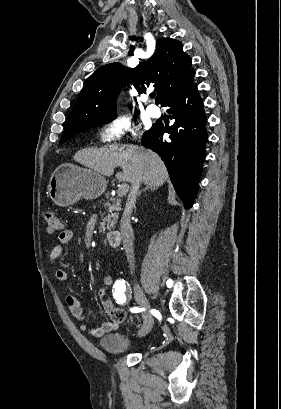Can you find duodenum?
Listing matches in <instances>:
<instances>
[{
    "instance_id": "obj_1",
    "label": "duodenum",
    "mask_w": 281,
    "mask_h": 409,
    "mask_svg": "<svg viewBox=\"0 0 281 409\" xmlns=\"http://www.w3.org/2000/svg\"><path fill=\"white\" fill-rule=\"evenodd\" d=\"M107 239L112 247H119L122 241V234L119 231H111L108 233Z\"/></svg>"
}]
</instances>
